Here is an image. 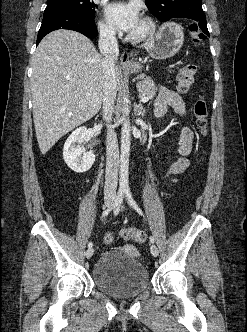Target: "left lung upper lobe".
Masks as SVG:
<instances>
[{
    "label": "left lung upper lobe",
    "mask_w": 247,
    "mask_h": 332,
    "mask_svg": "<svg viewBox=\"0 0 247 332\" xmlns=\"http://www.w3.org/2000/svg\"><path fill=\"white\" fill-rule=\"evenodd\" d=\"M145 4L160 21L206 18L201 0H145Z\"/></svg>",
    "instance_id": "1"
}]
</instances>
